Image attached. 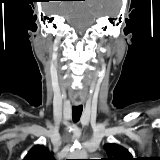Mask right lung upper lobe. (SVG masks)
<instances>
[{"label":"right lung upper lobe","instance_id":"right-lung-upper-lobe-1","mask_svg":"<svg viewBox=\"0 0 160 160\" xmlns=\"http://www.w3.org/2000/svg\"><path fill=\"white\" fill-rule=\"evenodd\" d=\"M23 160H54L53 153L44 145L34 146Z\"/></svg>","mask_w":160,"mask_h":160}]
</instances>
